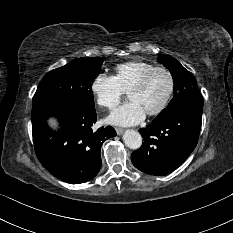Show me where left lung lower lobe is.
Wrapping results in <instances>:
<instances>
[{"mask_svg":"<svg viewBox=\"0 0 233 233\" xmlns=\"http://www.w3.org/2000/svg\"><path fill=\"white\" fill-rule=\"evenodd\" d=\"M203 99L192 100L168 118L153 120L140 129L143 144L131 154L140 171L163 176L177 169L197 145L202 124Z\"/></svg>","mask_w":233,"mask_h":233,"instance_id":"0a47b994","label":"left lung lower lobe"}]
</instances>
